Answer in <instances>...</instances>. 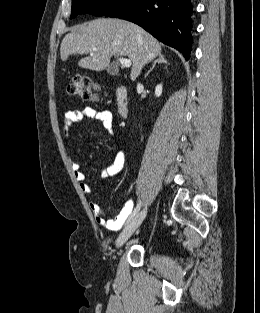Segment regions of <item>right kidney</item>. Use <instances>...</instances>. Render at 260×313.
I'll list each match as a JSON object with an SVG mask.
<instances>
[{
    "instance_id": "right-kidney-1",
    "label": "right kidney",
    "mask_w": 260,
    "mask_h": 313,
    "mask_svg": "<svg viewBox=\"0 0 260 313\" xmlns=\"http://www.w3.org/2000/svg\"><path fill=\"white\" fill-rule=\"evenodd\" d=\"M161 94H162V85L159 84L155 88V95H156V97H159Z\"/></svg>"
}]
</instances>
